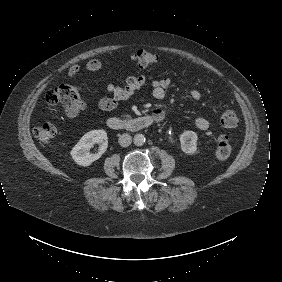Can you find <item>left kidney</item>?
Returning a JSON list of instances; mask_svg holds the SVG:
<instances>
[{"instance_id":"1","label":"left kidney","mask_w":282,"mask_h":282,"mask_svg":"<svg viewBox=\"0 0 282 282\" xmlns=\"http://www.w3.org/2000/svg\"><path fill=\"white\" fill-rule=\"evenodd\" d=\"M197 139V134L193 131L181 133L179 137L181 150L188 155H194L197 152ZM187 140H190L189 143H187Z\"/></svg>"}]
</instances>
